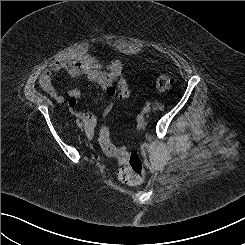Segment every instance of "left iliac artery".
I'll use <instances>...</instances> for the list:
<instances>
[{"instance_id":"1","label":"left iliac artery","mask_w":245,"mask_h":245,"mask_svg":"<svg viewBox=\"0 0 245 245\" xmlns=\"http://www.w3.org/2000/svg\"><path fill=\"white\" fill-rule=\"evenodd\" d=\"M146 104H147V106H149L150 105V102H147Z\"/></svg>"}]
</instances>
